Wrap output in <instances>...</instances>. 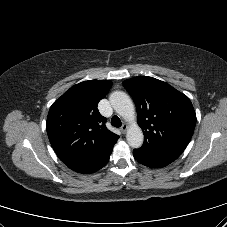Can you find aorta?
<instances>
[{
  "instance_id": "762f6f07",
  "label": "aorta",
  "mask_w": 227,
  "mask_h": 227,
  "mask_svg": "<svg viewBox=\"0 0 227 227\" xmlns=\"http://www.w3.org/2000/svg\"><path fill=\"white\" fill-rule=\"evenodd\" d=\"M110 103L114 110L127 121L135 120V109L130 97L122 92L115 91L109 97ZM128 144L132 148H139L143 144L144 135L137 123H132L126 134Z\"/></svg>"
}]
</instances>
